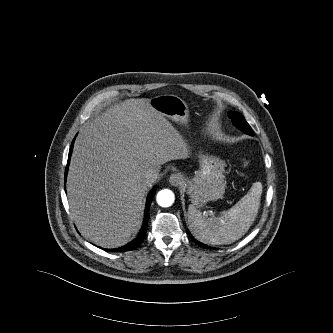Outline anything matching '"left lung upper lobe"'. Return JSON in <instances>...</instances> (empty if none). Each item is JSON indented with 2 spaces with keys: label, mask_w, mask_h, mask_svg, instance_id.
Segmentation results:
<instances>
[{
  "label": "left lung upper lobe",
  "mask_w": 333,
  "mask_h": 333,
  "mask_svg": "<svg viewBox=\"0 0 333 333\" xmlns=\"http://www.w3.org/2000/svg\"><path fill=\"white\" fill-rule=\"evenodd\" d=\"M228 116L232 119V122L237 128H239L246 134L249 135L253 134L249 124L246 122V120L240 113L231 111L229 112Z\"/></svg>",
  "instance_id": "obj_1"
}]
</instances>
